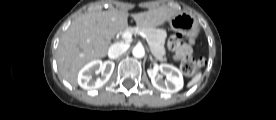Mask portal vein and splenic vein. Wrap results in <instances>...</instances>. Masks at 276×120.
Instances as JSON below:
<instances>
[{
  "label": "portal vein and splenic vein",
  "instance_id": "portal-vein-and-splenic-vein-1",
  "mask_svg": "<svg viewBox=\"0 0 276 120\" xmlns=\"http://www.w3.org/2000/svg\"><path fill=\"white\" fill-rule=\"evenodd\" d=\"M137 33L147 40V36L144 32H137ZM122 38L124 40H130L132 38V32H130V31L124 32L122 35Z\"/></svg>",
  "mask_w": 276,
  "mask_h": 120
}]
</instances>
